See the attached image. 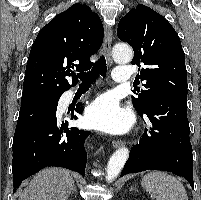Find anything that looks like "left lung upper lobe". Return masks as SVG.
<instances>
[{
    "label": "left lung upper lobe",
    "instance_id": "1",
    "mask_svg": "<svg viewBox=\"0 0 201 200\" xmlns=\"http://www.w3.org/2000/svg\"><path fill=\"white\" fill-rule=\"evenodd\" d=\"M119 39L134 50L131 64H144L140 69L145 89L132 96L138 113L155 98L167 95L187 97L185 56L178 34L168 21L145 5L131 9L118 25Z\"/></svg>",
    "mask_w": 201,
    "mask_h": 200
}]
</instances>
